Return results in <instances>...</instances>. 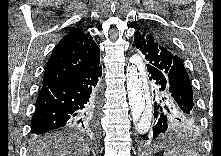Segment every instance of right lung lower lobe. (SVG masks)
<instances>
[{"mask_svg":"<svg viewBox=\"0 0 221 156\" xmlns=\"http://www.w3.org/2000/svg\"><path fill=\"white\" fill-rule=\"evenodd\" d=\"M100 64L43 86L31 121L33 135L63 128H94L101 100Z\"/></svg>","mask_w":221,"mask_h":156,"instance_id":"obj_1","label":"right lung lower lobe"}]
</instances>
